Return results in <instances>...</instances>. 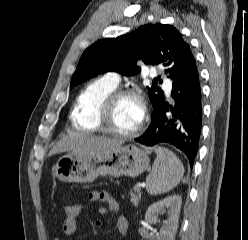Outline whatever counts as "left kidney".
Segmentation results:
<instances>
[{
	"label": "left kidney",
	"mask_w": 248,
	"mask_h": 240,
	"mask_svg": "<svg viewBox=\"0 0 248 240\" xmlns=\"http://www.w3.org/2000/svg\"><path fill=\"white\" fill-rule=\"evenodd\" d=\"M181 205L182 198L179 195H172L149 206L145 215L148 223L155 224L158 221V215L167 214V219L160 229L157 240H174L178 229Z\"/></svg>",
	"instance_id": "obj_1"
}]
</instances>
